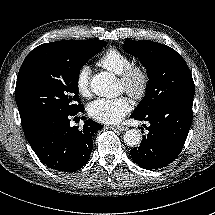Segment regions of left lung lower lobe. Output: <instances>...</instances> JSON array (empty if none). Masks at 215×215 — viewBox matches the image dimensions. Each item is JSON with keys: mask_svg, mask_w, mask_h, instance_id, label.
<instances>
[{"mask_svg": "<svg viewBox=\"0 0 215 215\" xmlns=\"http://www.w3.org/2000/svg\"><path fill=\"white\" fill-rule=\"evenodd\" d=\"M192 105L193 98H185L162 104L146 115H131L150 123L140 146L130 150L136 164L147 170L159 169L178 157L192 123Z\"/></svg>", "mask_w": 215, "mask_h": 215, "instance_id": "1", "label": "left lung lower lobe"}]
</instances>
